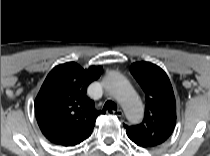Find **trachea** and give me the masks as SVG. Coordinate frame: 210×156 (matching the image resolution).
Listing matches in <instances>:
<instances>
[{
	"mask_svg": "<svg viewBox=\"0 0 210 156\" xmlns=\"http://www.w3.org/2000/svg\"><path fill=\"white\" fill-rule=\"evenodd\" d=\"M103 109H114V110H117V106L115 105L114 102H111V101H107L103 107Z\"/></svg>",
	"mask_w": 210,
	"mask_h": 156,
	"instance_id": "1",
	"label": "trachea"
}]
</instances>
